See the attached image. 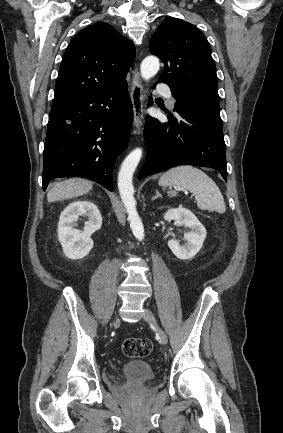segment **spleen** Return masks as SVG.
Listing matches in <instances>:
<instances>
[{"label": "spleen", "instance_id": "1", "mask_svg": "<svg viewBox=\"0 0 283 433\" xmlns=\"http://www.w3.org/2000/svg\"><path fill=\"white\" fill-rule=\"evenodd\" d=\"M160 186H183L195 194L197 206L201 210H217L225 212L226 204L224 198L214 180L209 178L203 170L193 168L191 164L175 166L164 172L159 178ZM176 190H170L169 196H176Z\"/></svg>", "mask_w": 283, "mask_h": 433}]
</instances>
